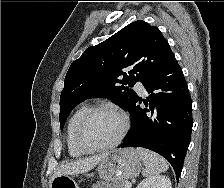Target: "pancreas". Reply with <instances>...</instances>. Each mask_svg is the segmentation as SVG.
Wrapping results in <instances>:
<instances>
[{
	"instance_id": "obj_1",
	"label": "pancreas",
	"mask_w": 224,
	"mask_h": 188,
	"mask_svg": "<svg viewBox=\"0 0 224 188\" xmlns=\"http://www.w3.org/2000/svg\"><path fill=\"white\" fill-rule=\"evenodd\" d=\"M92 188H126V181L115 183L100 181L93 184Z\"/></svg>"
}]
</instances>
